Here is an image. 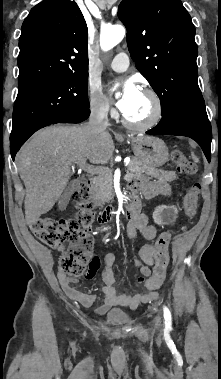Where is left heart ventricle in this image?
Returning a JSON list of instances; mask_svg holds the SVG:
<instances>
[{
    "label": "left heart ventricle",
    "instance_id": "obj_1",
    "mask_svg": "<svg viewBox=\"0 0 221 379\" xmlns=\"http://www.w3.org/2000/svg\"><path fill=\"white\" fill-rule=\"evenodd\" d=\"M153 110L152 101L148 96L141 93L138 101L133 106L131 110H129L124 115L131 121L134 122H143L147 120Z\"/></svg>",
    "mask_w": 221,
    "mask_h": 379
}]
</instances>
